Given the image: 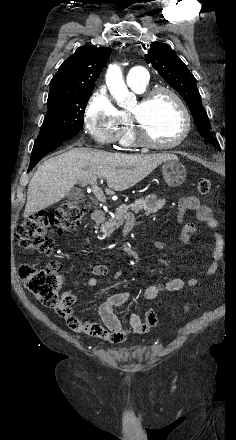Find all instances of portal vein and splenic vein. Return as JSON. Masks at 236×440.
<instances>
[{
    "label": "portal vein and splenic vein",
    "mask_w": 236,
    "mask_h": 440,
    "mask_svg": "<svg viewBox=\"0 0 236 440\" xmlns=\"http://www.w3.org/2000/svg\"><path fill=\"white\" fill-rule=\"evenodd\" d=\"M87 183L91 184L92 191H93L94 195L96 196V198L100 202L105 203L106 197H105L104 193L102 192V190L98 187L96 179L88 181V182H82V185H86Z\"/></svg>",
    "instance_id": "portal-vein-and-splenic-vein-1"
}]
</instances>
